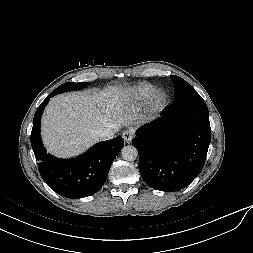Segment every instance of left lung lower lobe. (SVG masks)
Wrapping results in <instances>:
<instances>
[{
    "mask_svg": "<svg viewBox=\"0 0 253 253\" xmlns=\"http://www.w3.org/2000/svg\"><path fill=\"white\" fill-rule=\"evenodd\" d=\"M132 140L144 182L161 191L188 186L203 169L211 140L208 108L199 94L166 107Z\"/></svg>",
    "mask_w": 253,
    "mask_h": 253,
    "instance_id": "1",
    "label": "left lung lower lobe"
}]
</instances>
